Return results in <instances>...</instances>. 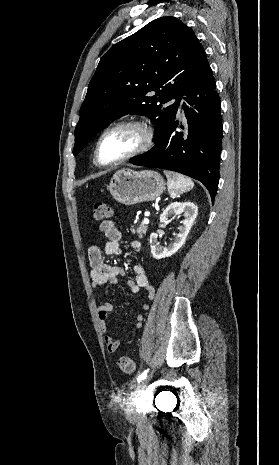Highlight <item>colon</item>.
<instances>
[{"label": "colon", "instance_id": "1", "mask_svg": "<svg viewBox=\"0 0 279 465\" xmlns=\"http://www.w3.org/2000/svg\"><path fill=\"white\" fill-rule=\"evenodd\" d=\"M93 215L96 220H107L113 216V210L108 204L96 202L93 205ZM118 365L120 370L126 374H131L135 370L134 361L126 356L119 358Z\"/></svg>", "mask_w": 279, "mask_h": 465}]
</instances>
